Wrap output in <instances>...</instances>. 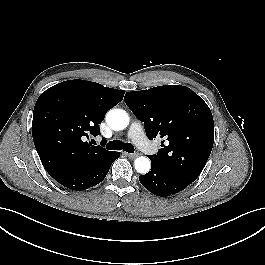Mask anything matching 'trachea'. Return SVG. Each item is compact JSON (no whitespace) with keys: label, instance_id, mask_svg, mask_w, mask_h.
<instances>
[{"label":"trachea","instance_id":"trachea-1","mask_svg":"<svg viewBox=\"0 0 265 265\" xmlns=\"http://www.w3.org/2000/svg\"><path fill=\"white\" fill-rule=\"evenodd\" d=\"M106 148L108 150H124L128 153H133L134 152V147L131 143H122L120 140H113L110 141L107 145Z\"/></svg>","mask_w":265,"mask_h":265}]
</instances>
